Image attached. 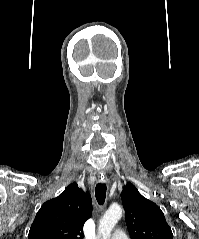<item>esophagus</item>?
Instances as JSON below:
<instances>
[{"mask_svg":"<svg viewBox=\"0 0 199 239\" xmlns=\"http://www.w3.org/2000/svg\"><path fill=\"white\" fill-rule=\"evenodd\" d=\"M99 181L100 182H106V176L104 174L99 175Z\"/></svg>","mask_w":199,"mask_h":239,"instance_id":"esophagus-1","label":"esophagus"}]
</instances>
